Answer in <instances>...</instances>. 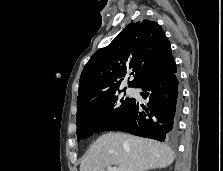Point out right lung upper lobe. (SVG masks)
Wrapping results in <instances>:
<instances>
[{"instance_id": "right-lung-upper-lobe-1", "label": "right lung upper lobe", "mask_w": 223, "mask_h": 171, "mask_svg": "<svg viewBox=\"0 0 223 171\" xmlns=\"http://www.w3.org/2000/svg\"><path fill=\"white\" fill-rule=\"evenodd\" d=\"M172 59L170 43L158 23L143 19L129 24L85 65L77 109L117 93L128 70L135 74L129 87L136 88Z\"/></svg>"}]
</instances>
